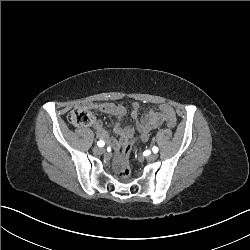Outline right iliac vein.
Wrapping results in <instances>:
<instances>
[{
    "label": "right iliac vein",
    "mask_w": 250,
    "mask_h": 250,
    "mask_svg": "<svg viewBox=\"0 0 250 250\" xmlns=\"http://www.w3.org/2000/svg\"><path fill=\"white\" fill-rule=\"evenodd\" d=\"M93 151L94 153L96 154H102L104 152V149L103 148H100V147H94L93 148Z\"/></svg>",
    "instance_id": "63e3f726"
}]
</instances>
